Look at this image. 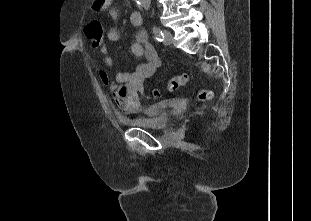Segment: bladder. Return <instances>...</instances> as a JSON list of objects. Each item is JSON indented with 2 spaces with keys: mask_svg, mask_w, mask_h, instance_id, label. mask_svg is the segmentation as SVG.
<instances>
[{
  "mask_svg": "<svg viewBox=\"0 0 311 221\" xmlns=\"http://www.w3.org/2000/svg\"><path fill=\"white\" fill-rule=\"evenodd\" d=\"M168 100L155 102L150 108H143L144 116L130 118L126 124L131 128H144L151 131H164L171 122V115L167 111Z\"/></svg>",
  "mask_w": 311,
  "mask_h": 221,
  "instance_id": "obj_1",
  "label": "bladder"
}]
</instances>
